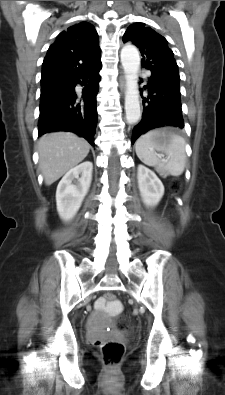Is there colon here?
I'll use <instances>...</instances> for the list:
<instances>
[{
    "mask_svg": "<svg viewBox=\"0 0 225 395\" xmlns=\"http://www.w3.org/2000/svg\"><path fill=\"white\" fill-rule=\"evenodd\" d=\"M180 189L181 182L179 180H174L171 183L172 192L177 193ZM105 298L108 304H110L111 300H116V298L111 294L106 295ZM122 328H124V326H122ZM95 346L100 350L103 363L109 368L117 367L121 363L126 352V340L123 339L98 341L95 343Z\"/></svg>",
    "mask_w": 225,
    "mask_h": 395,
    "instance_id": "obj_1",
    "label": "colon"
}]
</instances>
